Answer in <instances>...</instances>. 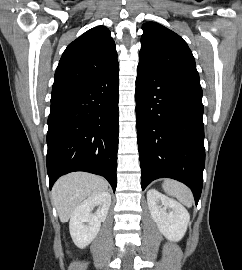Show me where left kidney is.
Wrapping results in <instances>:
<instances>
[{
    "instance_id": "1",
    "label": "left kidney",
    "mask_w": 242,
    "mask_h": 270,
    "mask_svg": "<svg viewBox=\"0 0 242 270\" xmlns=\"http://www.w3.org/2000/svg\"><path fill=\"white\" fill-rule=\"evenodd\" d=\"M147 203L159 231L171 241H180L186 233L190 220L185 207L155 189L147 192Z\"/></svg>"
}]
</instances>
